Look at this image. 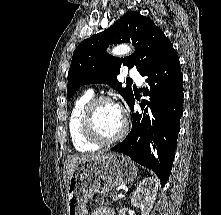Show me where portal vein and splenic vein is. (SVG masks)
<instances>
[{
	"label": "portal vein and splenic vein",
	"mask_w": 221,
	"mask_h": 215,
	"mask_svg": "<svg viewBox=\"0 0 221 215\" xmlns=\"http://www.w3.org/2000/svg\"><path fill=\"white\" fill-rule=\"evenodd\" d=\"M121 197H122V195H118V196H115L114 198H117V200H118Z\"/></svg>",
	"instance_id": "portal-vein-and-splenic-vein-1"
}]
</instances>
